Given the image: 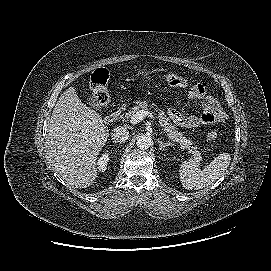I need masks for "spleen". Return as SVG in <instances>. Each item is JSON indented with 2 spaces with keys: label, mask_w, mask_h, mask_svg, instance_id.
Masks as SVG:
<instances>
[{
  "label": "spleen",
  "mask_w": 271,
  "mask_h": 271,
  "mask_svg": "<svg viewBox=\"0 0 271 271\" xmlns=\"http://www.w3.org/2000/svg\"><path fill=\"white\" fill-rule=\"evenodd\" d=\"M231 162L229 153L223 152L204 169L192 159L182 162L180 165V181L185 189L198 190L213 184L227 170Z\"/></svg>",
  "instance_id": "spleen-1"
}]
</instances>
